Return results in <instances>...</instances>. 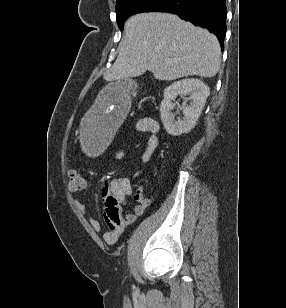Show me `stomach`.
Here are the masks:
<instances>
[{
  "instance_id": "0dacf381",
  "label": "stomach",
  "mask_w": 286,
  "mask_h": 308,
  "mask_svg": "<svg viewBox=\"0 0 286 308\" xmlns=\"http://www.w3.org/2000/svg\"><path fill=\"white\" fill-rule=\"evenodd\" d=\"M131 79H121L99 89L93 109H85L82 122H79L80 137L78 149H84V156H101L107 149V142L114 137V130L122 124L124 110H128Z\"/></svg>"
}]
</instances>
